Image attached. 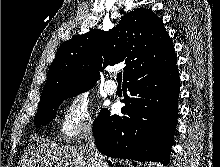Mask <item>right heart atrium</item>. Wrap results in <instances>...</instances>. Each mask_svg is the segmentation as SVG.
I'll return each instance as SVG.
<instances>
[{"label": "right heart atrium", "instance_id": "obj_1", "mask_svg": "<svg viewBox=\"0 0 220 167\" xmlns=\"http://www.w3.org/2000/svg\"><path fill=\"white\" fill-rule=\"evenodd\" d=\"M93 128L92 107L86 93L76 92L66 101L59 119V131L65 141L73 142Z\"/></svg>", "mask_w": 220, "mask_h": 167}]
</instances>
